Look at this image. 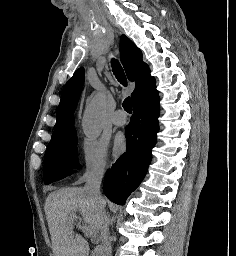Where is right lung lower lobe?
<instances>
[{
    "label": "right lung lower lobe",
    "instance_id": "98d812e1",
    "mask_svg": "<svg viewBox=\"0 0 236 256\" xmlns=\"http://www.w3.org/2000/svg\"><path fill=\"white\" fill-rule=\"evenodd\" d=\"M133 111L125 129L126 152L107 171L103 183L106 196L119 205H124L139 186L151 162L159 130V96L155 86L133 102Z\"/></svg>",
    "mask_w": 236,
    "mask_h": 256
}]
</instances>
